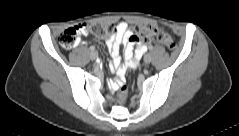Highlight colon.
Masks as SVG:
<instances>
[{
	"label": "colon",
	"instance_id": "1",
	"mask_svg": "<svg viewBox=\"0 0 239 136\" xmlns=\"http://www.w3.org/2000/svg\"><path fill=\"white\" fill-rule=\"evenodd\" d=\"M114 31L115 27L112 24L102 25L83 23L64 30L59 37V42L64 48H72L78 43V40L82 35L92 34L98 38H103L112 36ZM133 39L143 42L157 41L169 50H174L176 48L174 37L159 30L153 25L138 26ZM125 95L126 87L121 84L120 97L124 98Z\"/></svg>",
	"mask_w": 239,
	"mask_h": 136
}]
</instances>
